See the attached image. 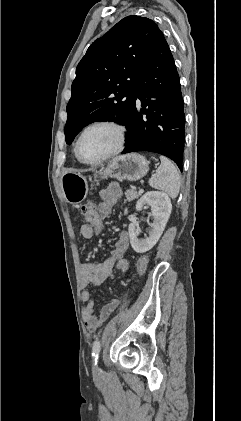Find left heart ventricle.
<instances>
[{"label": "left heart ventricle", "mask_w": 241, "mask_h": 421, "mask_svg": "<svg viewBox=\"0 0 241 421\" xmlns=\"http://www.w3.org/2000/svg\"><path fill=\"white\" fill-rule=\"evenodd\" d=\"M117 144V134L114 129L99 126L85 133L80 142V155L83 159L93 161L110 152Z\"/></svg>", "instance_id": "obj_1"}]
</instances>
